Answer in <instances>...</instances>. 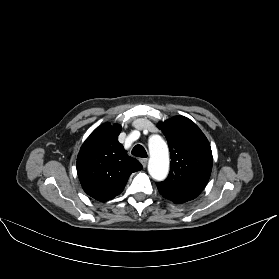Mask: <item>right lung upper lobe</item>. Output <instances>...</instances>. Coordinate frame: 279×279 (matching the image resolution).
Segmentation results:
<instances>
[{
    "label": "right lung upper lobe",
    "instance_id": "cb5924a9",
    "mask_svg": "<svg viewBox=\"0 0 279 279\" xmlns=\"http://www.w3.org/2000/svg\"><path fill=\"white\" fill-rule=\"evenodd\" d=\"M121 129L119 124L101 125L87 138L77 157L82 188L98 201H107L120 194L129 176L143 168L118 142Z\"/></svg>",
    "mask_w": 279,
    "mask_h": 279
}]
</instances>
